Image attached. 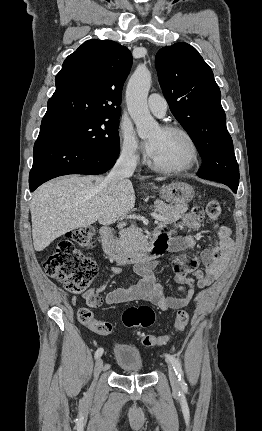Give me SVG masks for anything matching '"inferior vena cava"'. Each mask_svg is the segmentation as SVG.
Masks as SVG:
<instances>
[{
	"label": "inferior vena cava",
	"mask_w": 262,
	"mask_h": 431,
	"mask_svg": "<svg viewBox=\"0 0 262 431\" xmlns=\"http://www.w3.org/2000/svg\"><path fill=\"white\" fill-rule=\"evenodd\" d=\"M138 155L132 149H123L114 167L105 178L111 188H117L125 179L132 176L137 166Z\"/></svg>",
	"instance_id": "602c4592"
}]
</instances>
